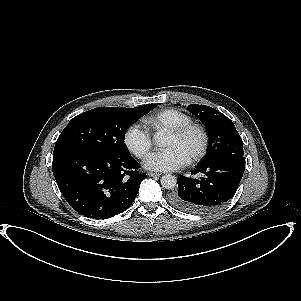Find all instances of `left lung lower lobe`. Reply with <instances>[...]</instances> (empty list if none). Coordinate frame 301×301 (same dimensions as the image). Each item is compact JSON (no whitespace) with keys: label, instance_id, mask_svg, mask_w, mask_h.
Instances as JSON below:
<instances>
[{"label":"left lung lower lobe","instance_id":"0a47b994","mask_svg":"<svg viewBox=\"0 0 301 301\" xmlns=\"http://www.w3.org/2000/svg\"><path fill=\"white\" fill-rule=\"evenodd\" d=\"M245 169L242 154L227 153L191 171L198 179L180 176L170 203L189 212L209 213L220 209L234 196Z\"/></svg>","mask_w":301,"mask_h":301}]
</instances>
